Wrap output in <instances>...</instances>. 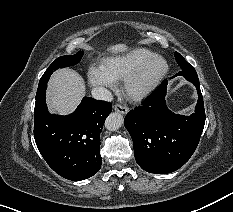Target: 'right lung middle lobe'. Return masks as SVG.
Returning <instances> with one entry per match:
<instances>
[{"mask_svg":"<svg viewBox=\"0 0 233 212\" xmlns=\"http://www.w3.org/2000/svg\"><path fill=\"white\" fill-rule=\"evenodd\" d=\"M82 56H83V51H79L75 55L61 56V57L57 58L49 66V68L45 71V73L41 77L36 96H38L42 92V90L45 88V86L47 85V82L49 80V77L51 76L53 71H55L59 68H63L66 66H71V65L77 64L80 61V59L82 58Z\"/></svg>","mask_w":233,"mask_h":212,"instance_id":"obj_1","label":"right lung middle lobe"}]
</instances>
